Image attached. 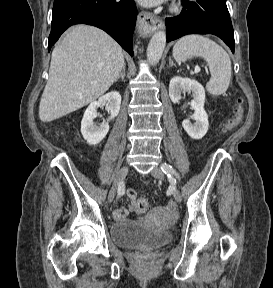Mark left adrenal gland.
Segmentation results:
<instances>
[{
	"mask_svg": "<svg viewBox=\"0 0 273 288\" xmlns=\"http://www.w3.org/2000/svg\"><path fill=\"white\" fill-rule=\"evenodd\" d=\"M173 66H176V65L173 63V61H172V59L170 57L169 58V67H173Z\"/></svg>",
	"mask_w": 273,
	"mask_h": 288,
	"instance_id": "a2214340",
	"label": "left adrenal gland"
}]
</instances>
